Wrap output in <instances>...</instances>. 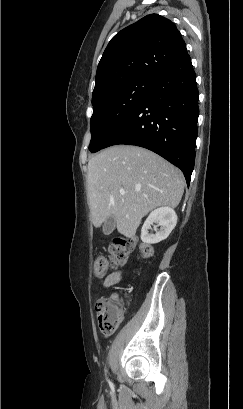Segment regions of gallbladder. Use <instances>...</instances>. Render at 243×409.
<instances>
[{
    "label": "gallbladder",
    "instance_id": "1",
    "mask_svg": "<svg viewBox=\"0 0 243 409\" xmlns=\"http://www.w3.org/2000/svg\"><path fill=\"white\" fill-rule=\"evenodd\" d=\"M115 218L114 217H108L104 223L103 226V233L105 235H109L113 232L114 228H115Z\"/></svg>",
    "mask_w": 243,
    "mask_h": 409
}]
</instances>
